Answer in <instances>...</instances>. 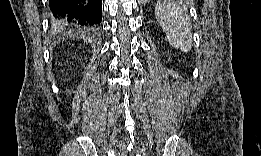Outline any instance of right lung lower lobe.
Wrapping results in <instances>:
<instances>
[{
  "label": "right lung lower lobe",
  "mask_w": 261,
  "mask_h": 156,
  "mask_svg": "<svg viewBox=\"0 0 261 156\" xmlns=\"http://www.w3.org/2000/svg\"><path fill=\"white\" fill-rule=\"evenodd\" d=\"M52 22L61 28L89 27L101 22L102 0H49Z\"/></svg>",
  "instance_id": "obj_1"
}]
</instances>
